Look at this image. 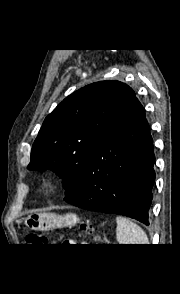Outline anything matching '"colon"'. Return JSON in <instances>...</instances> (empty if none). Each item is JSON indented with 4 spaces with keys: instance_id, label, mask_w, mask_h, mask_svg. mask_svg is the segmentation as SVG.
<instances>
[{
    "instance_id": "5ec220e1",
    "label": "colon",
    "mask_w": 180,
    "mask_h": 294,
    "mask_svg": "<svg viewBox=\"0 0 180 294\" xmlns=\"http://www.w3.org/2000/svg\"><path fill=\"white\" fill-rule=\"evenodd\" d=\"M80 229L84 235L92 238L94 244H98L100 242V237L97 233H95L91 224L84 222L81 224ZM26 242L30 245L42 244L46 242V237L40 233H29L26 236Z\"/></svg>"
}]
</instances>
